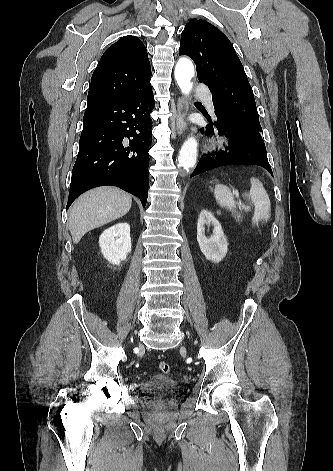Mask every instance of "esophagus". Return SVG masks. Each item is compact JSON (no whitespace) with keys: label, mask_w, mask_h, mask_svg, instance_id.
<instances>
[{"label":"esophagus","mask_w":333,"mask_h":471,"mask_svg":"<svg viewBox=\"0 0 333 471\" xmlns=\"http://www.w3.org/2000/svg\"><path fill=\"white\" fill-rule=\"evenodd\" d=\"M186 115L187 104L185 99L183 97H180L177 102V114L174 122L175 130L179 136L182 135L186 129Z\"/></svg>","instance_id":"esophagus-1"}]
</instances>
